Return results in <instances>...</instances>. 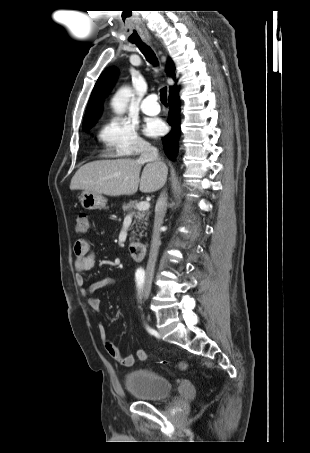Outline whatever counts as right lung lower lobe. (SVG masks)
I'll use <instances>...</instances> for the list:
<instances>
[{
    "label": "right lung lower lobe",
    "mask_w": 310,
    "mask_h": 453,
    "mask_svg": "<svg viewBox=\"0 0 310 453\" xmlns=\"http://www.w3.org/2000/svg\"><path fill=\"white\" fill-rule=\"evenodd\" d=\"M169 118L168 123L172 130L162 139L164 150L169 159L173 160L178 150V136L180 125V100L177 87H172L169 95Z\"/></svg>",
    "instance_id": "98d812e1"
}]
</instances>
